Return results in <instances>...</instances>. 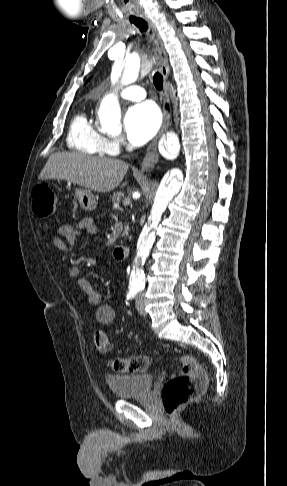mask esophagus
<instances>
[{
    "label": "esophagus",
    "instance_id": "34e87169",
    "mask_svg": "<svg viewBox=\"0 0 287 486\" xmlns=\"http://www.w3.org/2000/svg\"><path fill=\"white\" fill-rule=\"evenodd\" d=\"M148 23L151 25V27L154 30V53L159 65V70L164 78L165 81H167L168 76H169V69H168V58H167V53L164 48L163 41L157 31L156 26L154 23H152L149 19L146 18ZM164 101L168 102L169 101V94H168V87L167 84L164 87ZM171 123V115L169 111L164 112V118H163V123L162 126L156 135V137L153 139V141L149 144L147 147L145 156L142 160L141 163V169L142 170H150L152 169L155 164L158 161V150H157V143L159 138L165 134L167 128L169 127Z\"/></svg>",
    "mask_w": 287,
    "mask_h": 486
}]
</instances>
